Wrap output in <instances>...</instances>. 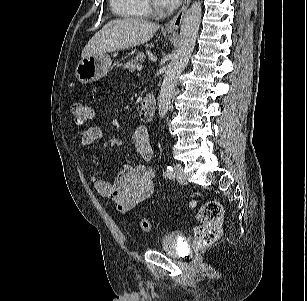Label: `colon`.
Instances as JSON below:
<instances>
[{
  "label": "colon",
  "mask_w": 307,
  "mask_h": 301,
  "mask_svg": "<svg viewBox=\"0 0 307 301\" xmlns=\"http://www.w3.org/2000/svg\"><path fill=\"white\" fill-rule=\"evenodd\" d=\"M70 112L74 123L83 127L93 120L95 112L91 104L82 100H73L70 103ZM224 210L222 205L216 200H209L203 203L197 214L199 225L194 229L195 244L197 247H206L215 243L222 230ZM140 230L149 232L151 223L148 219L139 221Z\"/></svg>",
  "instance_id": "colon-1"
}]
</instances>
